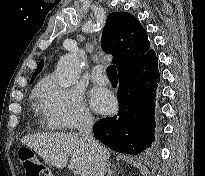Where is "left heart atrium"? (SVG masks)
I'll use <instances>...</instances> for the list:
<instances>
[{"label":"left heart atrium","mask_w":205,"mask_h":176,"mask_svg":"<svg viewBox=\"0 0 205 176\" xmlns=\"http://www.w3.org/2000/svg\"><path fill=\"white\" fill-rule=\"evenodd\" d=\"M91 103L93 108L100 113L110 111L115 104L113 96L108 91L102 89L92 90Z\"/></svg>","instance_id":"1"}]
</instances>
